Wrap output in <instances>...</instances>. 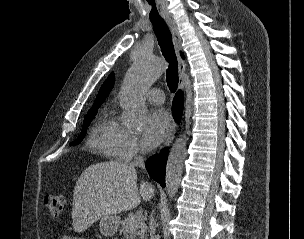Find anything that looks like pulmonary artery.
Listing matches in <instances>:
<instances>
[{"mask_svg":"<svg viewBox=\"0 0 304 239\" xmlns=\"http://www.w3.org/2000/svg\"><path fill=\"white\" fill-rule=\"evenodd\" d=\"M146 97L148 101L152 104L155 105H160L164 103L165 101V96L162 90L160 89H151L150 91L147 92Z\"/></svg>","mask_w":304,"mask_h":239,"instance_id":"1","label":"pulmonary artery"}]
</instances>
